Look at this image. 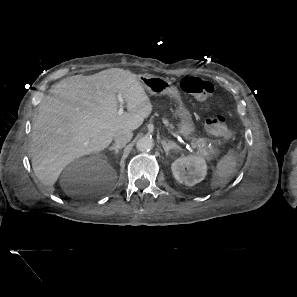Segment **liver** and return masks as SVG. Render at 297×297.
<instances>
[{
	"instance_id": "6515ba94",
	"label": "liver",
	"mask_w": 297,
	"mask_h": 297,
	"mask_svg": "<svg viewBox=\"0 0 297 297\" xmlns=\"http://www.w3.org/2000/svg\"><path fill=\"white\" fill-rule=\"evenodd\" d=\"M50 93L39 105L30 143L33 171L50 192L67 165L104 150L116 132L137 129L152 111L137 75L120 68L67 77ZM117 94L128 111L121 115Z\"/></svg>"
}]
</instances>
